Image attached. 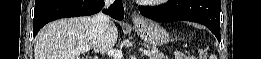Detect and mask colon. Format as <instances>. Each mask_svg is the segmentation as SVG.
<instances>
[{
    "label": "colon",
    "mask_w": 261,
    "mask_h": 59,
    "mask_svg": "<svg viewBox=\"0 0 261 59\" xmlns=\"http://www.w3.org/2000/svg\"><path fill=\"white\" fill-rule=\"evenodd\" d=\"M177 59H187V57L183 56L182 54H178Z\"/></svg>",
    "instance_id": "1"
}]
</instances>
